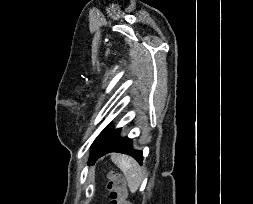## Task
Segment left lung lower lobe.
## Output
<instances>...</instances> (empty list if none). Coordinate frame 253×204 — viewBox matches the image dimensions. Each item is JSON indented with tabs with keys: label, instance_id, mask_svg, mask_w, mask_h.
<instances>
[{
	"label": "left lung lower lobe",
	"instance_id": "left-lung-lower-lobe-1",
	"mask_svg": "<svg viewBox=\"0 0 253 204\" xmlns=\"http://www.w3.org/2000/svg\"><path fill=\"white\" fill-rule=\"evenodd\" d=\"M121 129H107L105 128L100 135L93 142V147L89 159V165L95 163V161L101 156L110 152H119L132 156L141 165L143 161V155L141 151L134 150L132 148V140L119 136Z\"/></svg>",
	"mask_w": 253,
	"mask_h": 204
}]
</instances>
